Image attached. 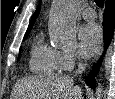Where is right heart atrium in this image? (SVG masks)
Wrapping results in <instances>:
<instances>
[{"instance_id": "1", "label": "right heart atrium", "mask_w": 115, "mask_h": 99, "mask_svg": "<svg viewBox=\"0 0 115 99\" xmlns=\"http://www.w3.org/2000/svg\"><path fill=\"white\" fill-rule=\"evenodd\" d=\"M80 61V55L76 50L58 51V63L60 70L70 71Z\"/></svg>"}]
</instances>
